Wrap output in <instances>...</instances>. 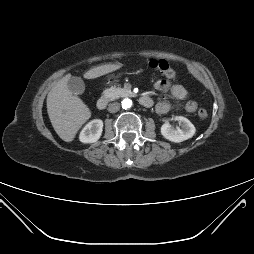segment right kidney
<instances>
[{
    "label": "right kidney",
    "mask_w": 254,
    "mask_h": 254,
    "mask_svg": "<svg viewBox=\"0 0 254 254\" xmlns=\"http://www.w3.org/2000/svg\"><path fill=\"white\" fill-rule=\"evenodd\" d=\"M103 131V121L94 119L82 129L79 140L82 143H94L99 140Z\"/></svg>",
    "instance_id": "ca27d5eb"
}]
</instances>
